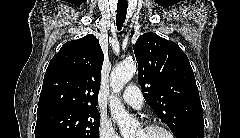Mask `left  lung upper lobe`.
<instances>
[{"instance_id":"obj_1","label":"left lung upper lobe","mask_w":240,"mask_h":138,"mask_svg":"<svg viewBox=\"0 0 240 138\" xmlns=\"http://www.w3.org/2000/svg\"><path fill=\"white\" fill-rule=\"evenodd\" d=\"M143 95L159 118L178 137L202 124V105L186 54L174 42L148 32L133 46Z\"/></svg>"}]
</instances>
